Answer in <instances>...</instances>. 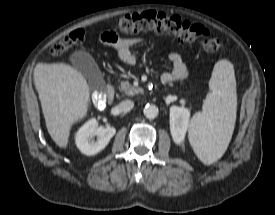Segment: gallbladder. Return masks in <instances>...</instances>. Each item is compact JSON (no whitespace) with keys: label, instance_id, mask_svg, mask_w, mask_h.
I'll use <instances>...</instances> for the list:
<instances>
[{"label":"gallbladder","instance_id":"obj_1","mask_svg":"<svg viewBox=\"0 0 275 215\" xmlns=\"http://www.w3.org/2000/svg\"><path fill=\"white\" fill-rule=\"evenodd\" d=\"M70 61L73 67L86 78L92 90H102L105 87L102 73L91 54L84 50L75 51L71 54Z\"/></svg>","mask_w":275,"mask_h":215}]
</instances>
